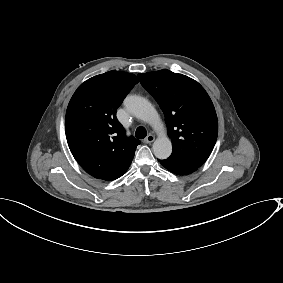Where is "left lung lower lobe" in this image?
I'll use <instances>...</instances> for the list:
<instances>
[{
  "mask_svg": "<svg viewBox=\"0 0 283 283\" xmlns=\"http://www.w3.org/2000/svg\"><path fill=\"white\" fill-rule=\"evenodd\" d=\"M167 170L177 174V175H187L193 173L198 169L197 166L187 164L184 162L172 160V159H165V160H158Z\"/></svg>",
  "mask_w": 283,
  "mask_h": 283,
  "instance_id": "0a47b994",
  "label": "left lung lower lobe"
}]
</instances>
